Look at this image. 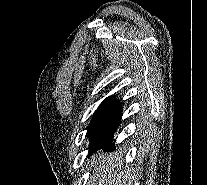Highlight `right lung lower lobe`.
Instances as JSON below:
<instances>
[{
    "mask_svg": "<svg viewBox=\"0 0 207 185\" xmlns=\"http://www.w3.org/2000/svg\"><path fill=\"white\" fill-rule=\"evenodd\" d=\"M120 122L118 124H116L111 131L99 142L98 144V148L101 147L102 149H108V148H112L114 146L113 144V135L117 129V127L119 126Z\"/></svg>",
    "mask_w": 207,
    "mask_h": 185,
    "instance_id": "98d812e1",
    "label": "right lung lower lobe"
}]
</instances>
